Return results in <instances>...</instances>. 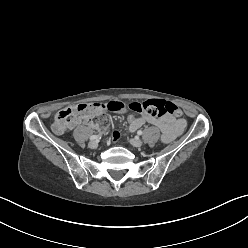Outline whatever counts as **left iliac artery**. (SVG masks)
Returning <instances> with one entry per match:
<instances>
[{"label": "left iliac artery", "instance_id": "44dca946", "mask_svg": "<svg viewBox=\"0 0 248 248\" xmlns=\"http://www.w3.org/2000/svg\"><path fill=\"white\" fill-rule=\"evenodd\" d=\"M137 134H138V135H142V131L139 130V131L137 132Z\"/></svg>", "mask_w": 248, "mask_h": 248}]
</instances>
